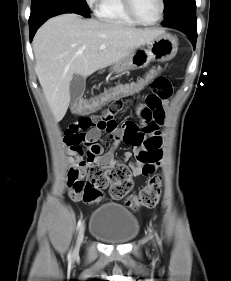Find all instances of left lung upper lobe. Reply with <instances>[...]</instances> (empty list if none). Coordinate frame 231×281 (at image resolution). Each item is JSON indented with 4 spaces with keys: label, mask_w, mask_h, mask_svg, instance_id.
Segmentation results:
<instances>
[{
    "label": "left lung upper lobe",
    "mask_w": 231,
    "mask_h": 281,
    "mask_svg": "<svg viewBox=\"0 0 231 281\" xmlns=\"http://www.w3.org/2000/svg\"><path fill=\"white\" fill-rule=\"evenodd\" d=\"M164 1V19H167L174 13L187 9L196 8L195 0H163Z\"/></svg>",
    "instance_id": "1"
}]
</instances>
